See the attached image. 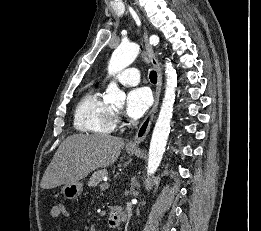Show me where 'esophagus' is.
<instances>
[{
    "mask_svg": "<svg viewBox=\"0 0 261 231\" xmlns=\"http://www.w3.org/2000/svg\"><path fill=\"white\" fill-rule=\"evenodd\" d=\"M144 41H145V46H146V53H147L152 65L156 68L158 81H157V87H156V92H155V96H154V104H153L151 110L149 111L148 115L146 116V118L141 123L140 127L138 128L134 138L127 143V145H126L127 148H138L139 144L142 141H144V139L146 138V136L150 130V127L152 125L154 115L158 108L161 87H162V68L155 55L152 45L148 41V32H147L146 27H144Z\"/></svg>",
    "mask_w": 261,
    "mask_h": 231,
    "instance_id": "esophagus-1",
    "label": "esophagus"
}]
</instances>
